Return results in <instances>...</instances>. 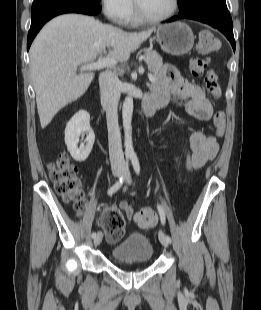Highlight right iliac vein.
<instances>
[{"instance_id": "right-iliac-vein-1", "label": "right iliac vein", "mask_w": 261, "mask_h": 310, "mask_svg": "<svg viewBox=\"0 0 261 310\" xmlns=\"http://www.w3.org/2000/svg\"><path fill=\"white\" fill-rule=\"evenodd\" d=\"M121 169L120 168H114L112 173L115 177H119L121 175ZM102 238H103V235L101 232H98L96 234V236L94 237V245L97 246L101 243L102 241Z\"/></svg>"}]
</instances>
